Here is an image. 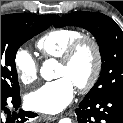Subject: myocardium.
Listing matches in <instances>:
<instances>
[{
	"instance_id": "f54148a6",
	"label": "myocardium",
	"mask_w": 123,
	"mask_h": 123,
	"mask_svg": "<svg viewBox=\"0 0 123 123\" xmlns=\"http://www.w3.org/2000/svg\"><path fill=\"white\" fill-rule=\"evenodd\" d=\"M85 45L90 46L93 50L94 67L88 79L82 84L76 85V88L80 92H87L91 90L101 75L103 68V56L100 43L91 35H81L67 47L63 55L59 58L60 64L68 66L73 62L75 57Z\"/></svg>"
}]
</instances>
